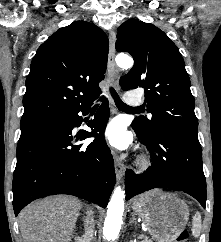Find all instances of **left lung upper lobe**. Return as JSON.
I'll use <instances>...</instances> for the list:
<instances>
[{"instance_id": "1", "label": "left lung upper lobe", "mask_w": 221, "mask_h": 242, "mask_svg": "<svg viewBox=\"0 0 221 242\" xmlns=\"http://www.w3.org/2000/svg\"><path fill=\"white\" fill-rule=\"evenodd\" d=\"M116 50L128 52L134 66L120 79L123 90L145 89V103L152 118L140 117L133 126L142 134L173 127L197 132L195 101L184 60L176 45L153 24L125 21L117 32Z\"/></svg>"}]
</instances>
